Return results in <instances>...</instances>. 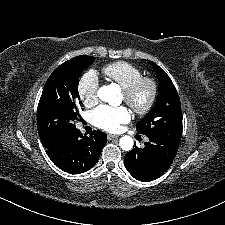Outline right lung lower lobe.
Listing matches in <instances>:
<instances>
[{
	"mask_svg": "<svg viewBox=\"0 0 225 225\" xmlns=\"http://www.w3.org/2000/svg\"><path fill=\"white\" fill-rule=\"evenodd\" d=\"M106 142L107 136L104 132L94 130L88 137L76 128L60 142L48 148L47 154L61 170L80 174L96 164Z\"/></svg>",
	"mask_w": 225,
	"mask_h": 225,
	"instance_id": "obj_1",
	"label": "right lung lower lobe"
}]
</instances>
